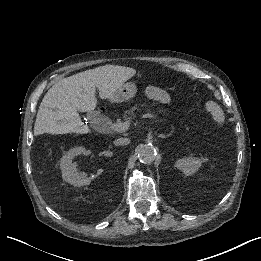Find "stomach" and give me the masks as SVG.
I'll use <instances>...</instances> for the list:
<instances>
[{
	"label": "stomach",
	"instance_id": "0dacf381",
	"mask_svg": "<svg viewBox=\"0 0 261 261\" xmlns=\"http://www.w3.org/2000/svg\"><path fill=\"white\" fill-rule=\"evenodd\" d=\"M137 87L134 83L122 84L110 98L111 102H123L135 96Z\"/></svg>",
	"mask_w": 261,
	"mask_h": 261
}]
</instances>
